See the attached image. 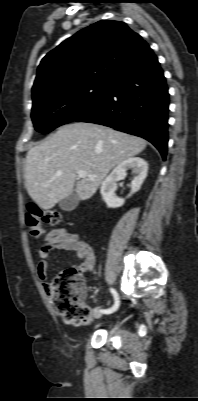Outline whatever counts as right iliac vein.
<instances>
[{
	"instance_id": "right-iliac-vein-1",
	"label": "right iliac vein",
	"mask_w": 198,
	"mask_h": 401,
	"mask_svg": "<svg viewBox=\"0 0 198 401\" xmlns=\"http://www.w3.org/2000/svg\"><path fill=\"white\" fill-rule=\"evenodd\" d=\"M102 312L101 311H95L94 317L99 318L101 316Z\"/></svg>"
}]
</instances>
